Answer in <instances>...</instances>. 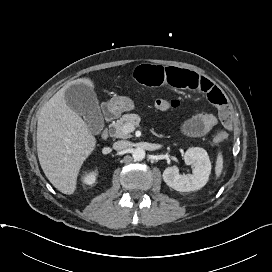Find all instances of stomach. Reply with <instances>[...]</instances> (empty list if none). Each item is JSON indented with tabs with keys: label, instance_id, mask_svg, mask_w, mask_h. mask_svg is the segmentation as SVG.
I'll use <instances>...</instances> for the list:
<instances>
[{
	"label": "stomach",
	"instance_id": "obj_1",
	"mask_svg": "<svg viewBox=\"0 0 272 272\" xmlns=\"http://www.w3.org/2000/svg\"><path fill=\"white\" fill-rule=\"evenodd\" d=\"M108 107L113 113L120 114L122 112L133 110L135 108V104L128 97L118 96V97L112 98L109 101Z\"/></svg>",
	"mask_w": 272,
	"mask_h": 272
}]
</instances>
